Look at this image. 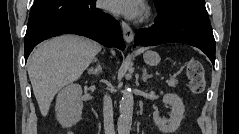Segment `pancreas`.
<instances>
[{
	"label": "pancreas",
	"mask_w": 239,
	"mask_h": 134,
	"mask_svg": "<svg viewBox=\"0 0 239 134\" xmlns=\"http://www.w3.org/2000/svg\"><path fill=\"white\" fill-rule=\"evenodd\" d=\"M166 83L170 87H176V85L178 84V80L176 78H170L166 80Z\"/></svg>",
	"instance_id": "pancreas-1"
}]
</instances>
